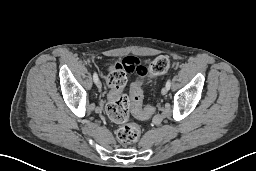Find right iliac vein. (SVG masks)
I'll return each instance as SVG.
<instances>
[{
  "label": "right iliac vein",
  "instance_id": "obj_1",
  "mask_svg": "<svg viewBox=\"0 0 256 171\" xmlns=\"http://www.w3.org/2000/svg\"><path fill=\"white\" fill-rule=\"evenodd\" d=\"M96 85H97L98 89L102 88V83H101V81H99V79H98Z\"/></svg>",
  "mask_w": 256,
  "mask_h": 171
}]
</instances>
